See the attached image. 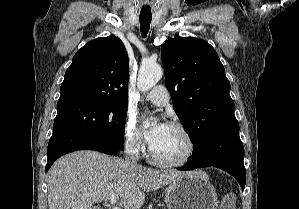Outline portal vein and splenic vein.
I'll use <instances>...</instances> for the list:
<instances>
[{
  "instance_id": "obj_1",
  "label": "portal vein and splenic vein",
  "mask_w": 299,
  "mask_h": 209,
  "mask_svg": "<svg viewBox=\"0 0 299 209\" xmlns=\"http://www.w3.org/2000/svg\"><path fill=\"white\" fill-rule=\"evenodd\" d=\"M117 200H118V195H116V194H113L110 197L109 202H110L112 209H120V207L116 206Z\"/></svg>"
}]
</instances>
